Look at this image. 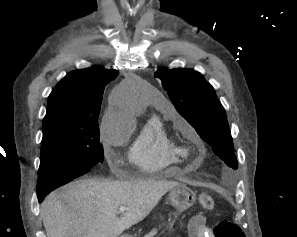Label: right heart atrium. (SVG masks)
I'll use <instances>...</instances> for the list:
<instances>
[{
	"instance_id": "obj_1",
	"label": "right heart atrium",
	"mask_w": 297,
	"mask_h": 237,
	"mask_svg": "<svg viewBox=\"0 0 297 237\" xmlns=\"http://www.w3.org/2000/svg\"><path fill=\"white\" fill-rule=\"evenodd\" d=\"M101 135L105 145L114 144L120 137L118 120L112 112L105 114L101 124Z\"/></svg>"
}]
</instances>
